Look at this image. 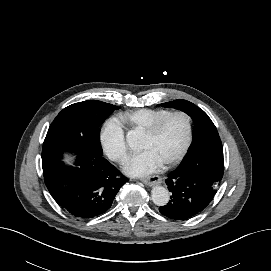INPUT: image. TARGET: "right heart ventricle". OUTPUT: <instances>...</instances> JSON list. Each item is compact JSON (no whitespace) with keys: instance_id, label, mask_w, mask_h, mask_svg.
<instances>
[{"instance_id":"e07e8e85","label":"right heart ventricle","mask_w":271,"mask_h":271,"mask_svg":"<svg viewBox=\"0 0 271 271\" xmlns=\"http://www.w3.org/2000/svg\"><path fill=\"white\" fill-rule=\"evenodd\" d=\"M171 110L167 108H144L135 111H129L119 114L116 121L128 130L143 131L154 121L169 113Z\"/></svg>"}]
</instances>
